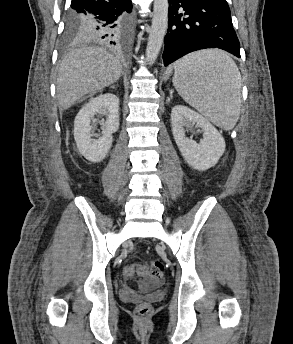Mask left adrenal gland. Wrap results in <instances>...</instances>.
Masks as SVG:
<instances>
[{"label": "left adrenal gland", "instance_id": "left-adrenal-gland-1", "mask_svg": "<svg viewBox=\"0 0 293 344\" xmlns=\"http://www.w3.org/2000/svg\"><path fill=\"white\" fill-rule=\"evenodd\" d=\"M173 90H170V97L172 98L173 97Z\"/></svg>", "mask_w": 293, "mask_h": 344}]
</instances>
